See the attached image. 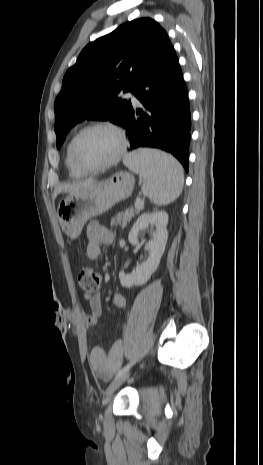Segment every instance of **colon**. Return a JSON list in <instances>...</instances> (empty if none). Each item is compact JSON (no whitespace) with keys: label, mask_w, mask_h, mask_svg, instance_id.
I'll list each match as a JSON object with an SVG mask.
<instances>
[{"label":"colon","mask_w":263,"mask_h":465,"mask_svg":"<svg viewBox=\"0 0 263 465\" xmlns=\"http://www.w3.org/2000/svg\"><path fill=\"white\" fill-rule=\"evenodd\" d=\"M78 284L86 298H93L97 295L101 287L100 274L91 267H83L78 272ZM97 323L92 317L87 319L88 326H94Z\"/></svg>","instance_id":"obj_1"}]
</instances>
